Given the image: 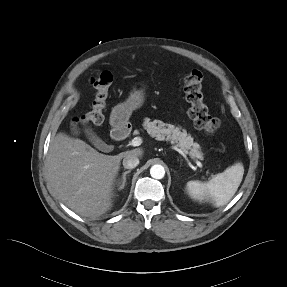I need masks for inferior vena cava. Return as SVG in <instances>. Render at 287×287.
Returning <instances> with one entry per match:
<instances>
[{"label":"inferior vena cava","instance_id":"1","mask_svg":"<svg viewBox=\"0 0 287 287\" xmlns=\"http://www.w3.org/2000/svg\"><path fill=\"white\" fill-rule=\"evenodd\" d=\"M138 164H139V158L132 153L126 154V156L123 159V166L126 169H133L136 166H138Z\"/></svg>","mask_w":287,"mask_h":287}]
</instances>
